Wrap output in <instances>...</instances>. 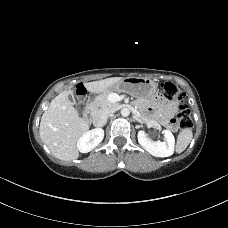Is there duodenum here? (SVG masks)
Segmentation results:
<instances>
[{"mask_svg": "<svg viewBox=\"0 0 228 228\" xmlns=\"http://www.w3.org/2000/svg\"><path fill=\"white\" fill-rule=\"evenodd\" d=\"M98 95H93L89 98L88 102H87V105H86V110H85V113H84V118L89 121L90 120V116H91V110L93 108V105H94V102H95V99Z\"/></svg>", "mask_w": 228, "mask_h": 228, "instance_id": "duodenum-1", "label": "duodenum"}]
</instances>
